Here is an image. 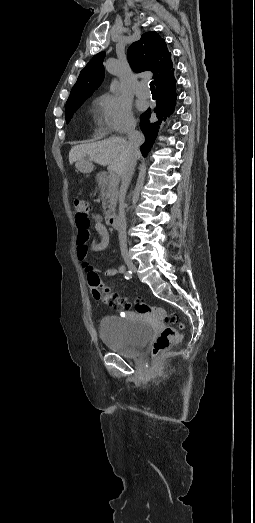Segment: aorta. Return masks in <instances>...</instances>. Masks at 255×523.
Here are the masks:
<instances>
[{
  "instance_id": "1",
  "label": "aorta",
  "mask_w": 255,
  "mask_h": 523,
  "mask_svg": "<svg viewBox=\"0 0 255 523\" xmlns=\"http://www.w3.org/2000/svg\"><path fill=\"white\" fill-rule=\"evenodd\" d=\"M118 89H119L118 82L114 80V81L111 83L110 91H111L112 93H116V92H118Z\"/></svg>"
}]
</instances>
